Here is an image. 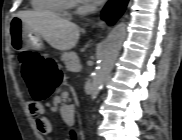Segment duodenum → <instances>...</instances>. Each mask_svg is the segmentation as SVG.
I'll return each instance as SVG.
<instances>
[{
    "label": "duodenum",
    "instance_id": "obj_1",
    "mask_svg": "<svg viewBox=\"0 0 182 140\" xmlns=\"http://www.w3.org/2000/svg\"><path fill=\"white\" fill-rule=\"evenodd\" d=\"M61 113L68 121H73L76 116V109L74 106H63L61 108Z\"/></svg>",
    "mask_w": 182,
    "mask_h": 140
}]
</instances>
